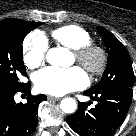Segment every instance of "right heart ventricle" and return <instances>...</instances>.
<instances>
[{
    "label": "right heart ventricle",
    "instance_id": "obj_1",
    "mask_svg": "<svg viewBox=\"0 0 136 136\" xmlns=\"http://www.w3.org/2000/svg\"><path fill=\"white\" fill-rule=\"evenodd\" d=\"M52 37L59 44L73 50L93 41L90 32L76 24L64 25L54 29Z\"/></svg>",
    "mask_w": 136,
    "mask_h": 136
}]
</instances>
